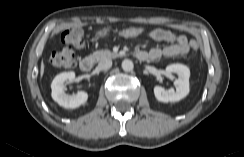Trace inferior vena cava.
Segmentation results:
<instances>
[{
    "label": "inferior vena cava",
    "mask_w": 244,
    "mask_h": 157,
    "mask_svg": "<svg viewBox=\"0 0 244 157\" xmlns=\"http://www.w3.org/2000/svg\"><path fill=\"white\" fill-rule=\"evenodd\" d=\"M111 66H112V61L110 59H105L99 62L97 68L98 70L106 71L110 69Z\"/></svg>",
    "instance_id": "obj_1"
}]
</instances>
